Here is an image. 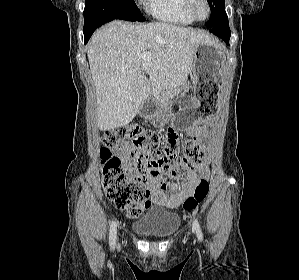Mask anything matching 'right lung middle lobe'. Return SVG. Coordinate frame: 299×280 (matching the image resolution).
Listing matches in <instances>:
<instances>
[{
    "mask_svg": "<svg viewBox=\"0 0 299 280\" xmlns=\"http://www.w3.org/2000/svg\"><path fill=\"white\" fill-rule=\"evenodd\" d=\"M129 13L136 21H145L134 0H110Z\"/></svg>",
    "mask_w": 299,
    "mask_h": 280,
    "instance_id": "dd1d6c3e",
    "label": "right lung middle lobe"
}]
</instances>
